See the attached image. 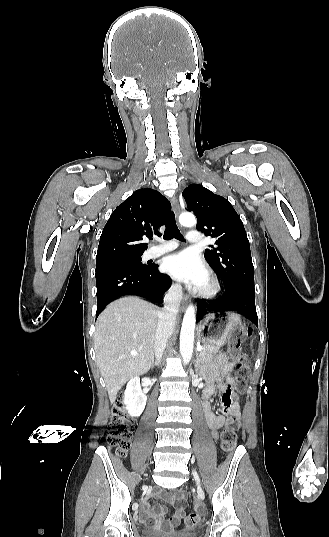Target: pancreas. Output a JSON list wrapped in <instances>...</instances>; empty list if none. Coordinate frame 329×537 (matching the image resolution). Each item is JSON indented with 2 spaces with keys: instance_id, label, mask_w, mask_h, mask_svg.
<instances>
[{
  "instance_id": "pancreas-1",
  "label": "pancreas",
  "mask_w": 329,
  "mask_h": 537,
  "mask_svg": "<svg viewBox=\"0 0 329 537\" xmlns=\"http://www.w3.org/2000/svg\"><path fill=\"white\" fill-rule=\"evenodd\" d=\"M202 348L203 349L198 354L201 361H211L214 354L219 351V348L213 345H204Z\"/></svg>"
}]
</instances>
